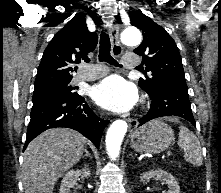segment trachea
<instances>
[{"mask_svg": "<svg viewBox=\"0 0 221 193\" xmlns=\"http://www.w3.org/2000/svg\"><path fill=\"white\" fill-rule=\"evenodd\" d=\"M110 47L109 36L105 31H102L100 35L99 61L122 67V65H119L118 62L111 56ZM137 69L141 70V68Z\"/></svg>", "mask_w": 221, "mask_h": 193, "instance_id": "trachea-1", "label": "trachea"}]
</instances>
